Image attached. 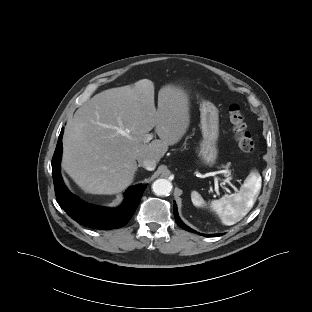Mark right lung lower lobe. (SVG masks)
<instances>
[{"mask_svg": "<svg viewBox=\"0 0 312 312\" xmlns=\"http://www.w3.org/2000/svg\"><path fill=\"white\" fill-rule=\"evenodd\" d=\"M63 130L64 128L61 130L52 158L53 182L58 204L73 220L85 227L109 230L124 226L136 211L146 185L132 186L127 190L125 201L118 208L109 209L85 203L66 188L61 177L60 160Z\"/></svg>", "mask_w": 312, "mask_h": 312, "instance_id": "1", "label": "right lung lower lobe"}]
</instances>
